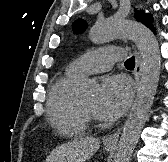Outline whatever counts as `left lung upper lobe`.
<instances>
[{"mask_svg": "<svg viewBox=\"0 0 168 162\" xmlns=\"http://www.w3.org/2000/svg\"><path fill=\"white\" fill-rule=\"evenodd\" d=\"M135 18L149 27L153 23V17L151 14L143 13V11L136 10L134 11ZM87 27V23L84 20L78 19L73 23V29L75 33H82Z\"/></svg>", "mask_w": 168, "mask_h": 162, "instance_id": "obj_1", "label": "left lung upper lobe"}]
</instances>
